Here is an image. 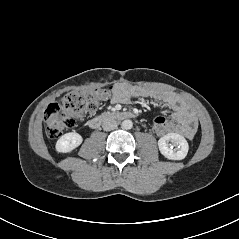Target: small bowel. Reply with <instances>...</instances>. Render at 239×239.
Here are the masks:
<instances>
[{
    "label": "small bowel",
    "mask_w": 239,
    "mask_h": 239,
    "mask_svg": "<svg viewBox=\"0 0 239 239\" xmlns=\"http://www.w3.org/2000/svg\"><path fill=\"white\" fill-rule=\"evenodd\" d=\"M132 97L148 98L172 111V128L169 133H177L188 139L194 137L198 120L193 111L175 94L159 89L141 86L117 85L113 88L110 101L113 104H126Z\"/></svg>",
    "instance_id": "1"
}]
</instances>
